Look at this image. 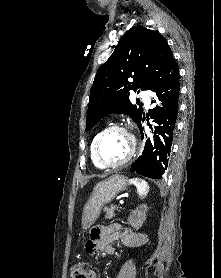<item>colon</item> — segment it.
<instances>
[{
  "instance_id": "1",
  "label": "colon",
  "mask_w": 221,
  "mask_h": 278,
  "mask_svg": "<svg viewBox=\"0 0 221 278\" xmlns=\"http://www.w3.org/2000/svg\"><path fill=\"white\" fill-rule=\"evenodd\" d=\"M69 278H89V270L82 264H74L70 268Z\"/></svg>"
}]
</instances>
